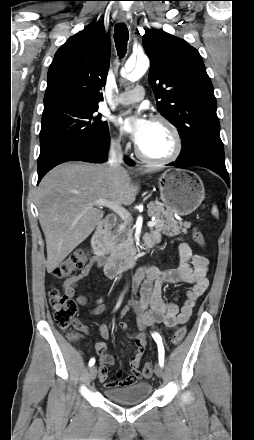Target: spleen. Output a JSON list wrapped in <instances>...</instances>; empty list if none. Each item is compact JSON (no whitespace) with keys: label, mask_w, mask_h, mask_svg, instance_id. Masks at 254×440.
Masks as SVG:
<instances>
[{"label":"spleen","mask_w":254,"mask_h":440,"mask_svg":"<svg viewBox=\"0 0 254 440\" xmlns=\"http://www.w3.org/2000/svg\"><path fill=\"white\" fill-rule=\"evenodd\" d=\"M212 212H213V214H214L215 216H218V211H217V208H216V207H213Z\"/></svg>","instance_id":"3e777b00"}]
</instances>
